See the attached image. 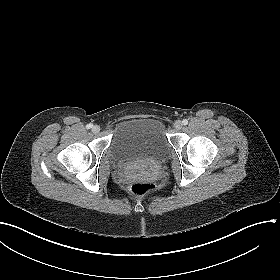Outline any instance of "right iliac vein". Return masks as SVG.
I'll return each mask as SVG.
<instances>
[{
	"label": "right iliac vein",
	"mask_w": 280,
	"mask_h": 280,
	"mask_svg": "<svg viewBox=\"0 0 280 280\" xmlns=\"http://www.w3.org/2000/svg\"><path fill=\"white\" fill-rule=\"evenodd\" d=\"M99 131H100V127L98 125H95V126L92 127V132L93 133L96 134V133H99Z\"/></svg>",
	"instance_id": "1"
}]
</instances>
